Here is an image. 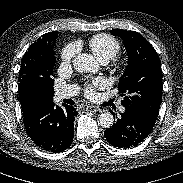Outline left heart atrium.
<instances>
[{"label": "left heart atrium", "mask_w": 183, "mask_h": 183, "mask_svg": "<svg viewBox=\"0 0 183 183\" xmlns=\"http://www.w3.org/2000/svg\"><path fill=\"white\" fill-rule=\"evenodd\" d=\"M103 86V82L100 79H94L88 82L84 87V93L87 97L91 98L95 95V90Z\"/></svg>", "instance_id": "39dd6f15"}]
</instances>
